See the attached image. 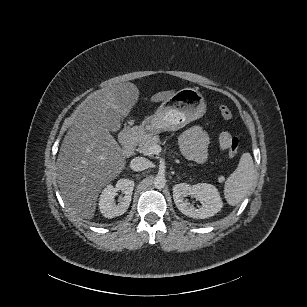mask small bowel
I'll use <instances>...</instances> for the list:
<instances>
[{
	"mask_svg": "<svg viewBox=\"0 0 307 307\" xmlns=\"http://www.w3.org/2000/svg\"><path fill=\"white\" fill-rule=\"evenodd\" d=\"M234 137L227 131L219 135V148L225 151L229 148ZM210 137L201 126H193L186 130L179 138V145L183 155L190 161L203 164L208 158Z\"/></svg>",
	"mask_w": 307,
	"mask_h": 307,
	"instance_id": "small-bowel-1",
	"label": "small bowel"
}]
</instances>
